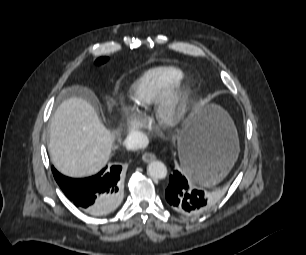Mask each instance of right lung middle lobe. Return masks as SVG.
<instances>
[{
    "mask_svg": "<svg viewBox=\"0 0 306 255\" xmlns=\"http://www.w3.org/2000/svg\"><path fill=\"white\" fill-rule=\"evenodd\" d=\"M107 60H108L107 57H101V58L97 59L95 63H96L97 65H100V64L105 63Z\"/></svg>",
    "mask_w": 306,
    "mask_h": 255,
    "instance_id": "dd1d6c3e",
    "label": "right lung middle lobe"
}]
</instances>
